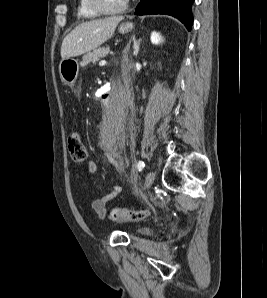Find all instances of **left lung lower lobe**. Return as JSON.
<instances>
[{
	"instance_id": "left-lung-lower-lobe-1",
	"label": "left lung lower lobe",
	"mask_w": 267,
	"mask_h": 298,
	"mask_svg": "<svg viewBox=\"0 0 267 298\" xmlns=\"http://www.w3.org/2000/svg\"><path fill=\"white\" fill-rule=\"evenodd\" d=\"M194 0H141L136 7V15L167 14L178 18L191 30L193 16L191 5Z\"/></svg>"
}]
</instances>
